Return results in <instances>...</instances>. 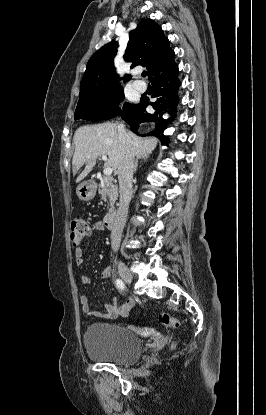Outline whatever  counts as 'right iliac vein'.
<instances>
[{"label":"right iliac vein","instance_id":"obj_1","mask_svg":"<svg viewBox=\"0 0 266 415\" xmlns=\"http://www.w3.org/2000/svg\"><path fill=\"white\" fill-rule=\"evenodd\" d=\"M118 271H119V274H120L121 278L126 283H131L132 282L133 276H132L131 272L129 271L127 266L125 264H123L122 262H119V264H118Z\"/></svg>","mask_w":266,"mask_h":415}]
</instances>
